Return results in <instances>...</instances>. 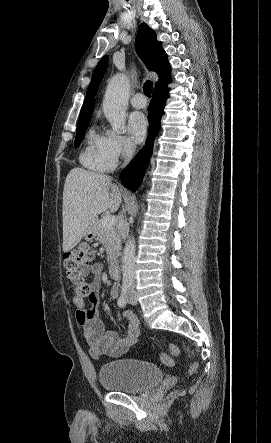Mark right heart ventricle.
Returning <instances> with one entry per match:
<instances>
[{"label":"right heart ventricle","instance_id":"1","mask_svg":"<svg viewBox=\"0 0 271 443\" xmlns=\"http://www.w3.org/2000/svg\"><path fill=\"white\" fill-rule=\"evenodd\" d=\"M80 162L88 169L94 171H109L113 163L105 152V136L96 133L92 128L86 135V143L80 154Z\"/></svg>","mask_w":271,"mask_h":443}]
</instances>
